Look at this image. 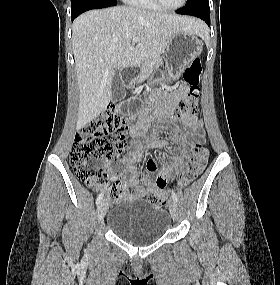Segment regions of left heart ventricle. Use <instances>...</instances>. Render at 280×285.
Instances as JSON below:
<instances>
[{
	"label": "left heart ventricle",
	"instance_id": "left-heart-ventricle-1",
	"mask_svg": "<svg viewBox=\"0 0 280 285\" xmlns=\"http://www.w3.org/2000/svg\"><path fill=\"white\" fill-rule=\"evenodd\" d=\"M164 5L168 6V7H174L177 6L181 0H161Z\"/></svg>",
	"mask_w": 280,
	"mask_h": 285
}]
</instances>
